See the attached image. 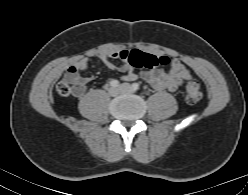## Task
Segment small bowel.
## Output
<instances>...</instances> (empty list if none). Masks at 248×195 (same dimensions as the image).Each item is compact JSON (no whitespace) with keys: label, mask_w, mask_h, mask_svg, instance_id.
Returning a JSON list of instances; mask_svg holds the SVG:
<instances>
[{"label":"small bowel","mask_w":248,"mask_h":195,"mask_svg":"<svg viewBox=\"0 0 248 195\" xmlns=\"http://www.w3.org/2000/svg\"><path fill=\"white\" fill-rule=\"evenodd\" d=\"M127 55L126 51H117L113 54H100L97 58L106 64L109 68L123 73V79L127 81H134L141 78L146 83L151 85L156 90L176 91L185 81L190 77V71L177 59H172L168 69L158 68L153 71H146L137 74L133 72L130 66L124 61ZM121 60L120 65H116L114 61ZM89 63V58L85 57L73 64L67 74L83 72ZM91 80V77H84V83Z\"/></svg>","instance_id":"small-bowel-1"}]
</instances>
